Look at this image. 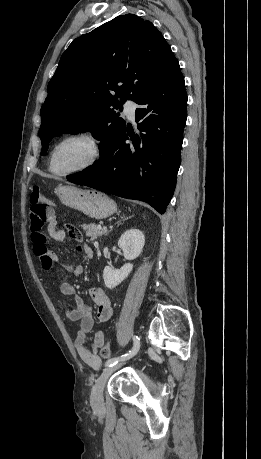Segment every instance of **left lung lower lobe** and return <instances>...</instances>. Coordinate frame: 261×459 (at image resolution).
Masks as SVG:
<instances>
[{
    "label": "left lung lower lobe",
    "mask_w": 261,
    "mask_h": 459,
    "mask_svg": "<svg viewBox=\"0 0 261 459\" xmlns=\"http://www.w3.org/2000/svg\"><path fill=\"white\" fill-rule=\"evenodd\" d=\"M139 132L125 127L107 155L67 180L127 199L147 202L160 214L176 186L186 123L187 94L178 61L135 101ZM130 139L131 144L125 141Z\"/></svg>",
    "instance_id": "1"
}]
</instances>
